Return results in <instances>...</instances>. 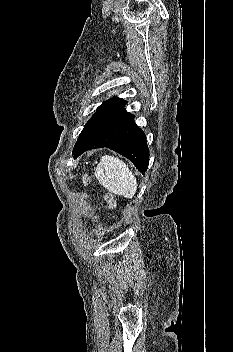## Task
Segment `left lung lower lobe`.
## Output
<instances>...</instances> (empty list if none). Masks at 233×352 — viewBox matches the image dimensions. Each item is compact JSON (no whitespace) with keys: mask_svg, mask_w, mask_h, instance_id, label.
I'll list each match as a JSON object with an SVG mask.
<instances>
[{"mask_svg":"<svg viewBox=\"0 0 233 352\" xmlns=\"http://www.w3.org/2000/svg\"><path fill=\"white\" fill-rule=\"evenodd\" d=\"M107 147L128 158L135 167L145 172L149 163V149L144 132L134 122V115L122 118L99 136L73 153L77 158L83 152Z\"/></svg>","mask_w":233,"mask_h":352,"instance_id":"left-lung-lower-lobe-1","label":"left lung lower lobe"}]
</instances>
